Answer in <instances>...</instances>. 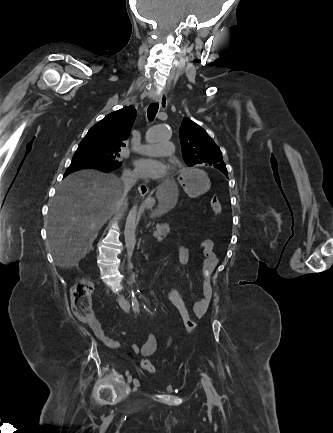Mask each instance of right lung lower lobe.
Returning <instances> with one entry per match:
<instances>
[{
    "mask_svg": "<svg viewBox=\"0 0 333 433\" xmlns=\"http://www.w3.org/2000/svg\"><path fill=\"white\" fill-rule=\"evenodd\" d=\"M82 168H98L101 169L102 171L110 172L117 169L118 167L102 164L96 161H72L64 177L70 174L71 172Z\"/></svg>",
    "mask_w": 333,
    "mask_h": 433,
    "instance_id": "1",
    "label": "right lung lower lobe"
}]
</instances>
